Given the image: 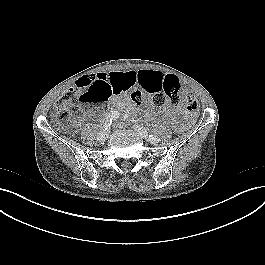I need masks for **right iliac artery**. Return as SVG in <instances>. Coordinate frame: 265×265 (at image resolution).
Here are the masks:
<instances>
[{
  "instance_id": "obj_1",
  "label": "right iliac artery",
  "mask_w": 265,
  "mask_h": 265,
  "mask_svg": "<svg viewBox=\"0 0 265 265\" xmlns=\"http://www.w3.org/2000/svg\"><path fill=\"white\" fill-rule=\"evenodd\" d=\"M120 116V113L118 111H113L112 113H110L106 119L105 122L103 124V127L107 130L110 125L112 124L113 121L117 120Z\"/></svg>"
}]
</instances>
